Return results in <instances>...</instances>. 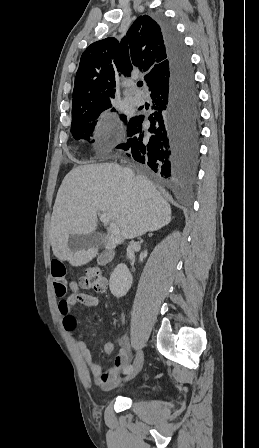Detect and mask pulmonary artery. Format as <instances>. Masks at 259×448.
<instances>
[{
    "instance_id": "1",
    "label": "pulmonary artery",
    "mask_w": 259,
    "mask_h": 448,
    "mask_svg": "<svg viewBox=\"0 0 259 448\" xmlns=\"http://www.w3.org/2000/svg\"><path fill=\"white\" fill-rule=\"evenodd\" d=\"M136 87H137V84L134 83L132 86V89H136ZM128 91H130V89ZM131 100L133 102H135L136 104H141L143 102V97L139 93H137L135 96L131 97Z\"/></svg>"
}]
</instances>
